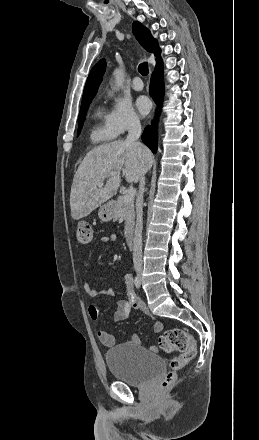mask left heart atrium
<instances>
[{
	"mask_svg": "<svg viewBox=\"0 0 259 440\" xmlns=\"http://www.w3.org/2000/svg\"><path fill=\"white\" fill-rule=\"evenodd\" d=\"M136 106L142 115H146L151 108L149 99L145 96H139L136 100Z\"/></svg>",
	"mask_w": 259,
	"mask_h": 440,
	"instance_id": "obj_1",
	"label": "left heart atrium"
}]
</instances>
